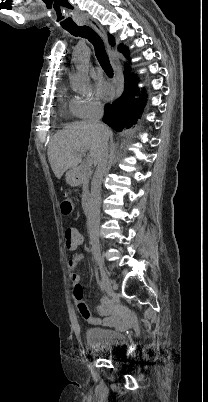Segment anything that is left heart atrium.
Listing matches in <instances>:
<instances>
[{
  "label": "left heart atrium",
  "mask_w": 208,
  "mask_h": 402,
  "mask_svg": "<svg viewBox=\"0 0 208 402\" xmlns=\"http://www.w3.org/2000/svg\"><path fill=\"white\" fill-rule=\"evenodd\" d=\"M96 90L97 96L105 102L111 101L115 94L113 86L103 78L97 80Z\"/></svg>",
  "instance_id": "left-heart-atrium-1"
}]
</instances>
